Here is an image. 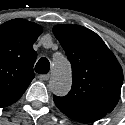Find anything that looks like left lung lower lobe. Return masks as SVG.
<instances>
[{
    "mask_svg": "<svg viewBox=\"0 0 125 125\" xmlns=\"http://www.w3.org/2000/svg\"><path fill=\"white\" fill-rule=\"evenodd\" d=\"M102 117H104V116L92 117V118H77V119H73V120H76V121H79L82 123H92V122H95V121L101 119Z\"/></svg>",
    "mask_w": 125,
    "mask_h": 125,
    "instance_id": "0a47b994",
    "label": "left lung lower lobe"
}]
</instances>
